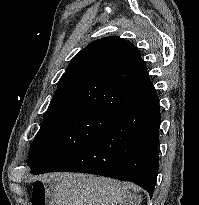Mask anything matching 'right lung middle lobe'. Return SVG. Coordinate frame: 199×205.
Here are the masks:
<instances>
[{"mask_svg":"<svg viewBox=\"0 0 199 205\" xmlns=\"http://www.w3.org/2000/svg\"><path fill=\"white\" fill-rule=\"evenodd\" d=\"M120 118L92 107L46 112L29 151L33 174L50 172L61 162L95 142Z\"/></svg>","mask_w":199,"mask_h":205,"instance_id":"obj_1","label":"right lung middle lobe"}]
</instances>
